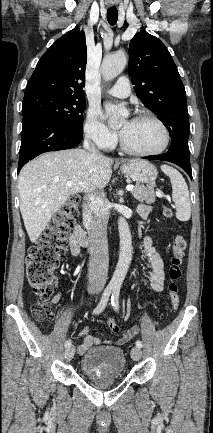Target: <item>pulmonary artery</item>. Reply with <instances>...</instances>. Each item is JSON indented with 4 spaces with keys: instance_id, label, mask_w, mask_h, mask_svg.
Returning <instances> with one entry per match:
<instances>
[{
    "instance_id": "1",
    "label": "pulmonary artery",
    "mask_w": 213,
    "mask_h": 433,
    "mask_svg": "<svg viewBox=\"0 0 213 433\" xmlns=\"http://www.w3.org/2000/svg\"><path fill=\"white\" fill-rule=\"evenodd\" d=\"M130 92L129 80L124 76L120 77L116 84L107 90L108 94L117 98H126L130 95Z\"/></svg>"
}]
</instances>
